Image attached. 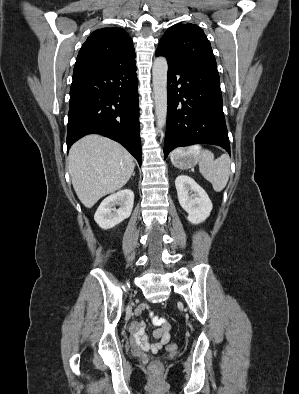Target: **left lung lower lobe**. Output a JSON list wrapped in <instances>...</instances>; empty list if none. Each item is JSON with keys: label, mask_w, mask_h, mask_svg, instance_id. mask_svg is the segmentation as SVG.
Masks as SVG:
<instances>
[{"label": "left lung lower lobe", "mask_w": 299, "mask_h": 394, "mask_svg": "<svg viewBox=\"0 0 299 394\" xmlns=\"http://www.w3.org/2000/svg\"><path fill=\"white\" fill-rule=\"evenodd\" d=\"M167 92L165 159L176 147L201 143L230 154L217 66L168 63Z\"/></svg>", "instance_id": "0a47b994"}]
</instances>
